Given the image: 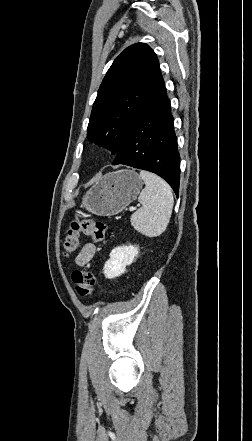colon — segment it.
<instances>
[{
  "instance_id": "1",
  "label": "colon",
  "mask_w": 252,
  "mask_h": 441,
  "mask_svg": "<svg viewBox=\"0 0 252 441\" xmlns=\"http://www.w3.org/2000/svg\"><path fill=\"white\" fill-rule=\"evenodd\" d=\"M108 233V227L101 221L76 220L67 231L63 247L66 254L75 252L80 245V234L91 237L95 241H102ZM72 281L77 294L86 298L91 294L95 284L93 273L87 269H76L72 273Z\"/></svg>"
}]
</instances>
